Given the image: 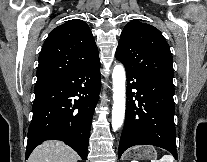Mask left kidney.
I'll return each mask as SVG.
<instances>
[{
  "label": "left kidney",
  "mask_w": 207,
  "mask_h": 162,
  "mask_svg": "<svg viewBox=\"0 0 207 162\" xmlns=\"http://www.w3.org/2000/svg\"><path fill=\"white\" fill-rule=\"evenodd\" d=\"M131 162H138V161L133 160V161H131Z\"/></svg>",
  "instance_id": "obj_1"
}]
</instances>
